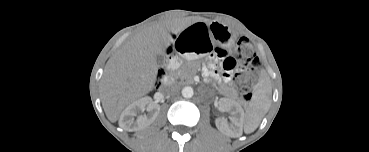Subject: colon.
<instances>
[{
	"label": "colon",
	"instance_id": "obj_1",
	"mask_svg": "<svg viewBox=\"0 0 369 152\" xmlns=\"http://www.w3.org/2000/svg\"><path fill=\"white\" fill-rule=\"evenodd\" d=\"M218 65L228 74H234V80L243 94L247 95L256 83L261 70V63L251 45L245 39H239L232 56L220 55L218 63L215 60L212 66Z\"/></svg>",
	"mask_w": 369,
	"mask_h": 152
}]
</instances>
